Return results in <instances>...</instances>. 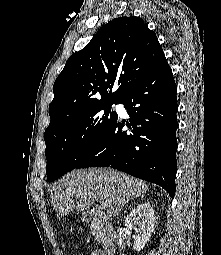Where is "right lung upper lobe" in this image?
<instances>
[{
	"instance_id": "cb5924a9",
	"label": "right lung upper lobe",
	"mask_w": 221,
	"mask_h": 255,
	"mask_svg": "<svg viewBox=\"0 0 221 255\" xmlns=\"http://www.w3.org/2000/svg\"><path fill=\"white\" fill-rule=\"evenodd\" d=\"M163 57L155 33L141 18L118 17L108 22L68 59L57 77L46 131L88 106L119 102ZM114 83L119 88L112 93Z\"/></svg>"
}]
</instances>
